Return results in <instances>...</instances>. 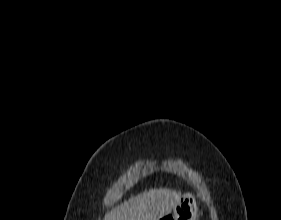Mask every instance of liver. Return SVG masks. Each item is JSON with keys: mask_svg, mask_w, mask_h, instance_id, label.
I'll use <instances>...</instances> for the list:
<instances>
[{"mask_svg": "<svg viewBox=\"0 0 281 220\" xmlns=\"http://www.w3.org/2000/svg\"><path fill=\"white\" fill-rule=\"evenodd\" d=\"M180 199L176 190L150 189L112 209L104 220H159L170 214Z\"/></svg>", "mask_w": 281, "mask_h": 220, "instance_id": "liver-1", "label": "liver"}]
</instances>
